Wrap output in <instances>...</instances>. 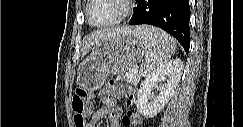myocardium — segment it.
Returning a JSON list of instances; mask_svg holds the SVG:
<instances>
[{
	"label": "myocardium",
	"instance_id": "myocardium-1",
	"mask_svg": "<svg viewBox=\"0 0 243 127\" xmlns=\"http://www.w3.org/2000/svg\"><path fill=\"white\" fill-rule=\"evenodd\" d=\"M93 1L94 0L87 1L86 8H85V15H86V20L89 23V25L92 27H95V28H107V27L117 25V24L121 23L122 21H124L126 18H128L133 11V2L134 1L119 0L123 7L122 13L118 17H116L115 19H113L107 23L95 24L91 21V18H90V7H91Z\"/></svg>",
	"mask_w": 243,
	"mask_h": 127
}]
</instances>
